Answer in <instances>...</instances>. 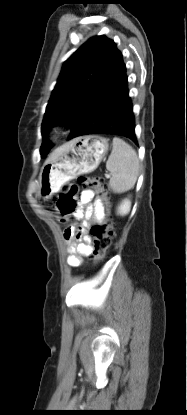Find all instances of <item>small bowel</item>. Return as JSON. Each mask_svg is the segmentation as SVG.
<instances>
[{"instance_id":"small-bowel-1","label":"small bowel","mask_w":187,"mask_h":415,"mask_svg":"<svg viewBox=\"0 0 187 415\" xmlns=\"http://www.w3.org/2000/svg\"><path fill=\"white\" fill-rule=\"evenodd\" d=\"M78 201L81 207L86 208L76 212L75 217L86 221L101 222L105 218V207L102 199L95 197L90 190L80 193ZM64 240L68 244L70 253L67 263L71 267H78L82 264L84 257L91 254L92 248L85 234V229L81 228L76 232L75 227L69 226L64 230Z\"/></svg>"}]
</instances>
